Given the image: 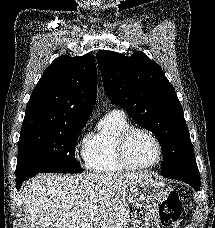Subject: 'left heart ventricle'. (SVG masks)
<instances>
[{
	"instance_id": "obj_1",
	"label": "left heart ventricle",
	"mask_w": 215,
	"mask_h": 228,
	"mask_svg": "<svg viewBox=\"0 0 215 228\" xmlns=\"http://www.w3.org/2000/svg\"><path fill=\"white\" fill-rule=\"evenodd\" d=\"M128 157L132 164L144 166L153 163L157 158V149L148 135L136 132L127 146Z\"/></svg>"
}]
</instances>
